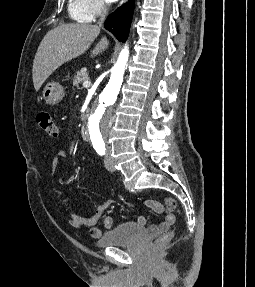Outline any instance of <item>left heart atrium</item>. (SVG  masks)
<instances>
[{"instance_id":"1","label":"left heart atrium","mask_w":255,"mask_h":287,"mask_svg":"<svg viewBox=\"0 0 255 287\" xmlns=\"http://www.w3.org/2000/svg\"><path fill=\"white\" fill-rule=\"evenodd\" d=\"M73 33H86V32H73ZM72 39H88V38H72ZM72 48H89V47H72Z\"/></svg>"}]
</instances>
